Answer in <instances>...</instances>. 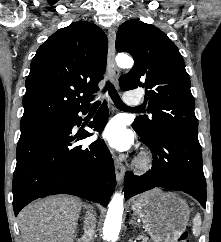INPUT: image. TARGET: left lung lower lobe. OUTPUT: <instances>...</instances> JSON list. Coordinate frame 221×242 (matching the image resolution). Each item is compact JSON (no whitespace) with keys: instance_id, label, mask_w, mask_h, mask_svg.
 Wrapping results in <instances>:
<instances>
[{"instance_id":"left-lung-lower-lobe-1","label":"left lung lower lobe","mask_w":221,"mask_h":242,"mask_svg":"<svg viewBox=\"0 0 221 242\" xmlns=\"http://www.w3.org/2000/svg\"><path fill=\"white\" fill-rule=\"evenodd\" d=\"M138 135L153 153L149 172L125 176V198L153 188H167L188 193L206 207V181L203 173L202 150L194 132L166 128L152 136Z\"/></svg>"}]
</instances>
